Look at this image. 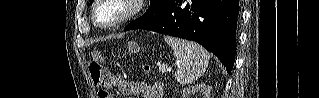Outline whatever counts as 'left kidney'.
Instances as JSON below:
<instances>
[{
  "instance_id": "5707ae66",
  "label": "left kidney",
  "mask_w": 319,
  "mask_h": 98,
  "mask_svg": "<svg viewBox=\"0 0 319 98\" xmlns=\"http://www.w3.org/2000/svg\"><path fill=\"white\" fill-rule=\"evenodd\" d=\"M211 88L205 84H196L183 91L182 98H210Z\"/></svg>"
}]
</instances>
